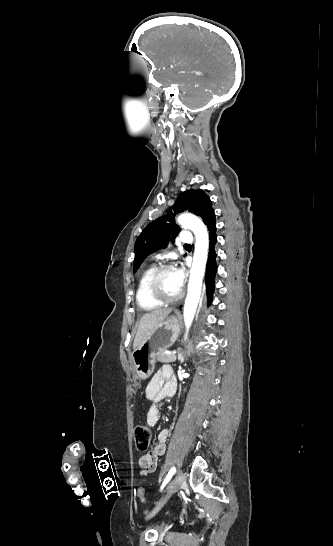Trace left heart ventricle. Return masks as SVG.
I'll use <instances>...</instances> for the list:
<instances>
[{
    "label": "left heart ventricle",
    "mask_w": 333,
    "mask_h": 546,
    "mask_svg": "<svg viewBox=\"0 0 333 546\" xmlns=\"http://www.w3.org/2000/svg\"><path fill=\"white\" fill-rule=\"evenodd\" d=\"M159 286L162 293L167 297H174L181 291V288L177 285L174 270L165 271L161 275L159 279Z\"/></svg>",
    "instance_id": "obj_1"
}]
</instances>
